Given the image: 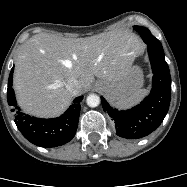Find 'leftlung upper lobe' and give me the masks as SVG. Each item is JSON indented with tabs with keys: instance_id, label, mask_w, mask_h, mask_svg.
<instances>
[{
	"instance_id": "left-lung-upper-lobe-1",
	"label": "left lung upper lobe",
	"mask_w": 187,
	"mask_h": 187,
	"mask_svg": "<svg viewBox=\"0 0 187 187\" xmlns=\"http://www.w3.org/2000/svg\"><path fill=\"white\" fill-rule=\"evenodd\" d=\"M134 29L140 33L141 37L143 38L144 42L146 43L147 39H154L155 42L159 45H161L160 41L156 39L147 28L140 27V26H134ZM162 46V45H161Z\"/></svg>"
}]
</instances>
